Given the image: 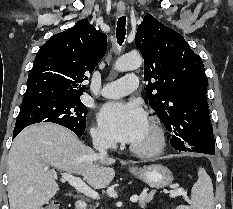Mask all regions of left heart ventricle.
Wrapping results in <instances>:
<instances>
[{
    "instance_id": "obj_1",
    "label": "left heart ventricle",
    "mask_w": 233,
    "mask_h": 209,
    "mask_svg": "<svg viewBox=\"0 0 233 209\" xmlns=\"http://www.w3.org/2000/svg\"><path fill=\"white\" fill-rule=\"evenodd\" d=\"M153 142H154V134L149 123H147V126L145 127L140 137L136 141H134L132 145L145 148L152 145Z\"/></svg>"
}]
</instances>
